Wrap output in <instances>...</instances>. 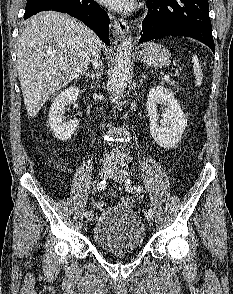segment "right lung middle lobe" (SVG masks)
Here are the masks:
<instances>
[{
  "label": "right lung middle lobe",
  "instance_id": "obj_1",
  "mask_svg": "<svg viewBox=\"0 0 233 294\" xmlns=\"http://www.w3.org/2000/svg\"><path fill=\"white\" fill-rule=\"evenodd\" d=\"M42 1H44V0H28L27 4H26V10L28 8H30L31 6H33V5H35V4L39 3V2H42Z\"/></svg>",
  "mask_w": 233,
  "mask_h": 294
}]
</instances>
